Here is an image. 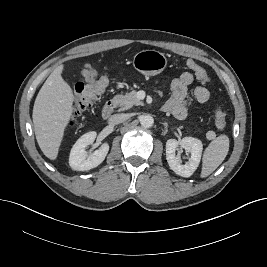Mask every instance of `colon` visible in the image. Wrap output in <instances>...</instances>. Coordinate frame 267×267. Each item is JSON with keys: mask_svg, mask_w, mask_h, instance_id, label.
Returning <instances> with one entry per match:
<instances>
[{"mask_svg": "<svg viewBox=\"0 0 267 267\" xmlns=\"http://www.w3.org/2000/svg\"><path fill=\"white\" fill-rule=\"evenodd\" d=\"M195 76L203 83H207L210 78L204 68L192 60L187 62ZM109 84L106 76L100 77L93 81L78 83L75 89V97L72 109V122H74L83 112L92 107L93 103L98 100ZM215 125L219 130L226 127V114L220 107L215 112Z\"/></svg>", "mask_w": 267, "mask_h": 267, "instance_id": "5ec220e1", "label": "colon"}]
</instances>
